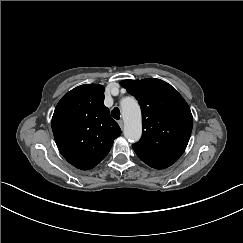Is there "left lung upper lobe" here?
Returning <instances> with one entry per match:
<instances>
[{"label":"left lung upper lobe","mask_w":243,"mask_h":243,"mask_svg":"<svg viewBox=\"0 0 243 243\" xmlns=\"http://www.w3.org/2000/svg\"><path fill=\"white\" fill-rule=\"evenodd\" d=\"M139 102L143 133L132 145L137 156L155 169H165L183 154L190 139L193 117L183 97L160 79L120 82Z\"/></svg>","instance_id":"5c2ea615"}]
</instances>
